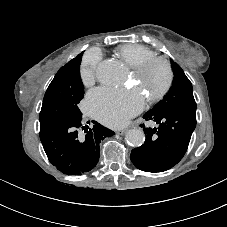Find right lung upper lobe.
<instances>
[{
  "label": "right lung upper lobe",
  "mask_w": 227,
  "mask_h": 227,
  "mask_svg": "<svg viewBox=\"0 0 227 227\" xmlns=\"http://www.w3.org/2000/svg\"><path fill=\"white\" fill-rule=\"evenodd\" d=\"M79 57H80V54H79L76 58H74V59H72L71 61H69L65 66H68V65H70V64L75 63L76 61L79 60ZM65 66H64V67H65Z\"/></svg>",
  "instance_id": "obj_1"
}]
</instances>
